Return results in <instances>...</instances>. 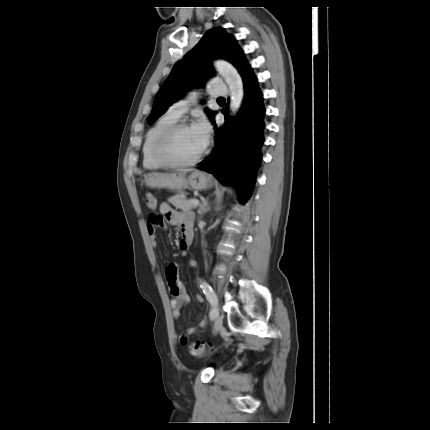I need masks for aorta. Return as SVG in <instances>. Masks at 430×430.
<instances>
[{
	"label": "aorta",
	"mask_w": 430,
	"mask_h": 430,
	"mask_svg": "<svg viewBox=\"0 0 430 430\" xmlns=\"http://www.w3.org/2000/svg\"><path fill=\"white\" fill-rule=\"evenodd\" d=\"M216 71L224 78L230 90L229 108L232 115L240 109L244 98L243 81L237 69L225 60H216L214 63Z\"/></svg>",
	"instance_id": "aorta-1"
}]
</instances>
